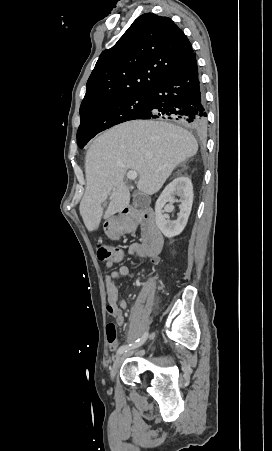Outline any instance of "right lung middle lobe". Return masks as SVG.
I'll list each match as a JSON object with an SVG mask.
<instances>
[{"mask_svg": "<svg viewBox=\"0 0 272 451\" xmlns=\"http://www.w3.org/2000/svg\"><path fill=\"white\" fill-rule=\"evenodd\" d=\"M149 94L131 95L100 103L80 113L77 144L83 148L96 134L119 123L133 120L148 108Z\"/></svg>", "mask_w": 272, "mask_h": 451, "instance_id": "dd1d6c3e", "label": "right lung middle lobe"}]
</instances>
